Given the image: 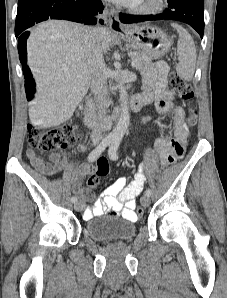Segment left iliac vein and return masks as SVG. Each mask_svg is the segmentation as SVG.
Here are the masks:
<instances>
[{
    "mask_svg": "<svg viewBox=\"0 0 227 298\" xmlns=\"http://www.w3.org/2000/svg\"><path fill=\"white\" fill-rule=\"evenodd\" d=\"M140 201L144 207H148L150 205V196L145 194L141 197Z\"/></svg>",
    "mask_w": 227,
    "mask_h": 298,
    "instance_id": "4c4485c4",
    "label": "left iliac vein"
}]
</instances>
